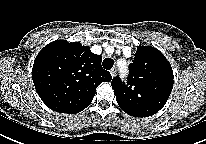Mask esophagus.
I'll list each match as a JSON object with an SVG mask.
<instances>
[{"instance_id": "1", "label": "esophagus", "mask_w": 206, "mask_h": 144, "mask_svg": "<svg viewBox=\"0 0 206 144\" xmlns=\"http://www.w3.org/2000/svg\"><path fill=\"white\" fill-rule=\"evenodd\" d=\"M116 72H117L116 68L111 69L110 74H111L112 78H114L116 76Z\"/></svg>"}]
</instances>
